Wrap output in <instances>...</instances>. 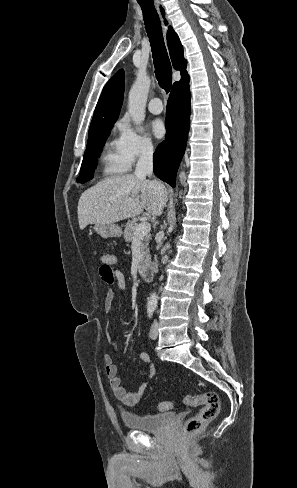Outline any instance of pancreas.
I'll list each match as a JSON object with an SVG mask.
<instances>
[{
	"instance_id": "cf45deb5",
	"label": "pancreas",
	"mask_w": 297,
	"mask_h": 488,
	"mask_svg": "<svg viewBox=\"0 0 297 488\" xmlns=\"http://www.w3.org/2000/svg\"><path fill=\"white\" fill-rule=\"evenodd\" d=\"M136 225H137V219L128 220L124 230V239L126 242L131 243L135 239ZM138 239L140 240V247H141L142 261L139 264V267H141L143 264H147L150 261L148 245L151 237L148 234H146L144 236L138 237Z\"/></svg>"
}]
</instances>
